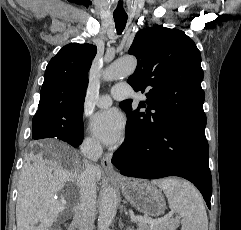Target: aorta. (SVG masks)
Masks as SVG:
<instances>
[{
    "label": "aorta",
    "mask_w": 241,
    "mask_h": 230,
    "mask_svg": "<svg viewBox=\"0 0 241 230\" xmlns=\"http://www.w3.org/2000/svg\"><path fill=\"white\" fill-rule=\"evenodd\" d=\"M137 60L133 56H127L114 61L104 72V80H119L134 73ZM118 193L111 187L106 186L99 206L98 230H110V225L117 213Z\"/></svg>",
    "instance_id": "1"
}]
</instances>
